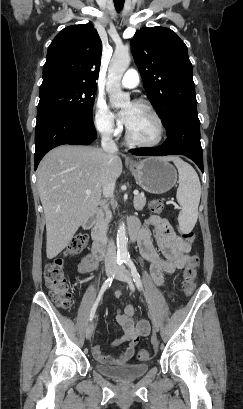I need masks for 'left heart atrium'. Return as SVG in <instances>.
I'll list each match as a JSON object with an SVG mask.
<instances>
[{
	"label": "left heart atrium",
	"instance_id": "1",
	"mask_svg": "<svg viewBox=\"0 0 243 409\" xmlns=\"http://www.w3.org/2000/svg\"><path fill=\"white\" fill-rule=\"evenodd\" d=\"M119 119L122 123H124L125 125H128L129 119H130V111H122L119 114Z\"/></svg>",
	"mask_w": 243,
	"mask_h": 409
}]
</instances>
